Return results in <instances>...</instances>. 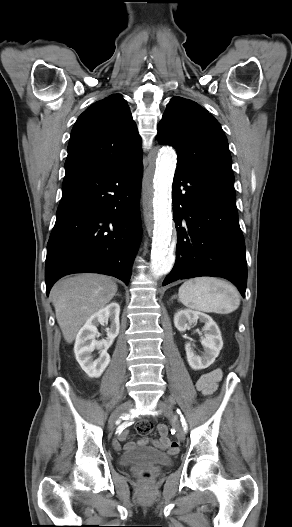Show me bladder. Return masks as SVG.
<instances>
[{
    "label": "bladder",
    "instance_id": "bladder-1",
    "mask_svg": "<svg viewBox=\"0 0 292 527\" xmlns=\"http://www.w3.org/2000/svg\"><path fill=\"white\" fill-rule=\"evenodd\" d=\"M171 462V457L168 454L151 448H133L124 452L119 459L121 466L134 464L168 466Z\"/></svg>",
    "mask_w": 292,
    "mask_h": 527
}]
</instances>
